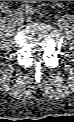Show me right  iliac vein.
<instances>
[{"label": "right iliac vein", "instance_id": "1", "mask_svg": "<svg viewBox=\"0 0 74 122\" xmlns=\"http://www.w3.org/2000/svg\"><path fill=\"white\" fill-rule=\"evenodd\" d=\"M11 18L16 25H20L23 23V17L18 12L12 13Z\"/></svg>", "mask_w": 74, "mask_h": 122}]
</instances>
